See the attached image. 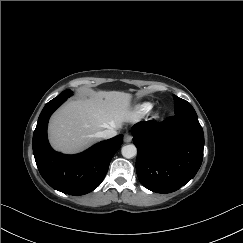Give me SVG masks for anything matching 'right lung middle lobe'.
Wrapping results in <instances>:
<instances>
[{
    "instance_id": "obj_1",
    "label": "right lung middle lobe",
    "mask_w": 243,
    "mask_h": 243,
    "mask_svg": "<svg viewBox=\"0 0 243 243\" xmlns=\"http://www.w3.org/2000/svg\"><path fill=\"white\" fill-rule=\"evenodd\" d=\"M72 95V92L68 89L63 91L61 94H59L56 98H54L53 100H57V99H64L66 100L68 97H70Z\"/></svg>"
}]
</instances>
